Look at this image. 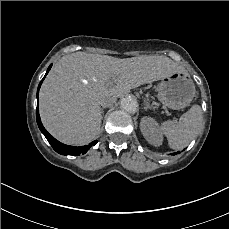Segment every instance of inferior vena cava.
Instances as JSON below:
<instances>
[{"label":"inferior vena cava","instance_id":"1","mask_svg":"<svg viewBox=\"0 0 229 229\" xmlns=\"http://www.w3.org/2000/svg\"><path fill=\"white\" fill-rule=\"evenodd\" d=\"M101 106H103V107H111L112 105H111L109 102L104 101V102L101 104Z\"/></svg>","mask_w":229,"mask_h":229}]
</instances>
